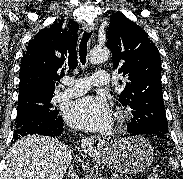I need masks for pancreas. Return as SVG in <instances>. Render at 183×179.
Wrapping results in <instances>:
<instances>
[{"label":"pancreas","mask_w":183,"mask_h":179,"mask_svg":"<svg viewBox=\"0 0 183 179\" xmlns=\"http://www.w3.org/2000/svg\"><path fill=\"white\" fill-rule=\"evenodd\" d=\"M145 179H160V177L157 174H152L150 176H147Z\"/></svg>","instance_id":"pancreas-1"}]
</instances>
